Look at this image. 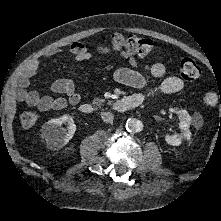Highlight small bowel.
<instances>
[{
  "mask_svg": "<svg viewBox=\"0 0 221 221\" xmlns=\"http://www.w3.org/2000/svg\"><path fill=\"white\" fill-rule=\"evenodd\" d=\"M73 56L75 61H86L92 58V53L89 49L80 42L70 44L66 50ZM63 49H54L43 55V59H49L64 53ZM98 53L106 54L107 50L98 49ZM122 55L128 60L130 67L119 68L114 73V78L117 82L131 87L141 88L146 84V78L138 72V62L136 58L128 53L123 52ZM40 64L39 59L29 62L20 72L17 81V94L19 99L27 103L29 106L36 107L41 111L62 110L67 104L77 105L80 102V94L77 91L76 82L72 78H61L54 80L50 89L54 93L65 94L63 96L40 95L37 91L27 90L30 79L35 75ZM144 70L147 71L154 78H163L166 75V68L162 63H154L145 65ZM184 88V82L178 76L165 77L158 88V93L172 94L181 91ZM140 95L144 98L142 94Z\"/></svg>",
  "mask_w": 221,
  "mask_h": 221,
  "instance_id": "c3829d8e",
  "label": "small bowel"
}]
</instances>
